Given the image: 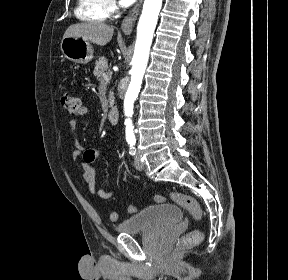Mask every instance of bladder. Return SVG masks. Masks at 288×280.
<instances>
[{
  "label": "bladder",
  "instance_id": "1",
  "mask_svg": "<svg viewBox=\"0 0 288 280\" xmlns=\"http://www.w3.org/2000/svg\"><path fill=\"white\" fill-rule=\"evenodd\" d=\"M183 219L182 210L172 204H158L144 208L119 223L115 230L122 234H134L165 230Z\"/></svg>",
  "mask_w": 288,
  "mask_h": 280
}]
</instances>
